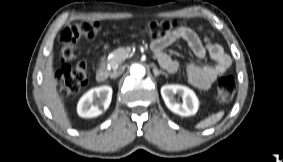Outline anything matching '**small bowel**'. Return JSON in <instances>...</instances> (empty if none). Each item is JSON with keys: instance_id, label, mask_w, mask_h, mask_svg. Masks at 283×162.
<instances>
[{"instance_id": "small-bowel-1", "label": "small bowel", "mask_w": 283, "mask_h": 162, "mask_svg": "<svg viewBox=\"0 0 283 162\" xmlns=\"http://www.w3.org/2000/svg\"><path fill=\"white\" fill-rule=\"evenodd\" d=\"M178 39H183L194 55L201 60L208 56L212 64L202 66L187 64L186 72L188 79L195 87L207 90L211 88L215 80L226 73L231 66V59L225 53L222 46L210 42L208 38L201 39L191 28L181 27L168 35L157 38L152 42V50L155 53L159 64L170 73L179 68V62L171 58L165 49Z\"/></svg>"}]
</instances>
